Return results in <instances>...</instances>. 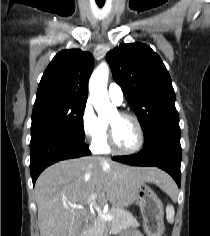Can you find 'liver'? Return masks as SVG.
<instances>
[{
  "label": "liver",
  "instance_id": "1",
  "mask_svg": "<svg viewBox=\"0 0 210 236\" xmlns=\"http://www.w3.org/2000/svg\"><path fill=\"white\" fill-rule=\"evenodd\" d=\"M145 182L165 190L164 184L172 179L157 168L130 167L92 156L51 165L35 184L40 236H79L88 204L107 200L114 207H127Z\"/></svg>",
  "mask_w": 210,
  "mask_h": 236
}]
</instances>
